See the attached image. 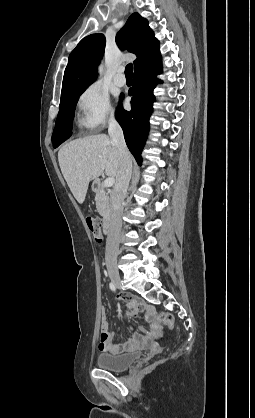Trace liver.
<instances>
[{
  "mask_svg": "<svg viewBox=\"0 0 255 418\" xmlns=\"http://www.w3.org/2000/svg\"><path fill=\"white\" fill-rule=\"evenodd\" d=\"M61 172L78 203L85 200L89 182L106 175L116 177L119 152L111 138L105 134L75 139L58 152Z\"/></svg>",
  "mask_w": 255,
  "mask_h": 418,
  "instance_id": "obj_1",
  "label": "liver"
}]
</instances>
